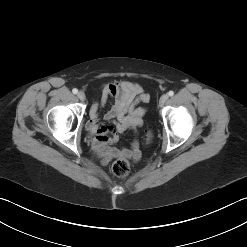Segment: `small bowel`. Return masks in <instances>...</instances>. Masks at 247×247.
I'll return each instance as SVG.
<instances>
[{"label": "small bowel", "instance_id": "1", "mask_svg": "<svg viewBox=\"0 0 247 247\" xmlns=\"http://www.w3.org/2000/svg\"><path fill=\"white\" fill-rule=\"evenodd\" d=\"M150 99L143 87L135 82H110L103 86L100 103H94L89 112L86 128L92 135V146L97 156L104 164L114 158L140 159L139 143L135 139L130 148H117L114 144L118 135L128 131H136L143 124L146 109L137 107L140 102ZM109 100L113 101L111 108L104 114L103 120L111 125L100 123V109Z\"/></svg>", "mask_w": 247, "mask_h": 247}]
</instances>
